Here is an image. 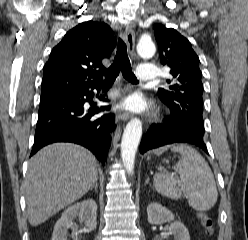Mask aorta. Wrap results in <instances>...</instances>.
Returning a JSON list of instances; mask_svg holds the SVG:
<instances>
[{"mask_svg": "<svg viewBox=\"0 0 248 240\" xmlns=\"http://www.w3.org/2000/svg\"><path fill=\"white\" fill-rule=\"evenodd\" d=\"M156 48L150 38H142L137 44V52L143 58H151ZM142 136V123L131 119L126 125L121 141V158L128 174H133L135 155Z\"/></svg>", "mask_w": 248, "mask_h": 240, "instance_id": "obj_1", "label": "aorta"}]
</instances>
